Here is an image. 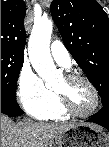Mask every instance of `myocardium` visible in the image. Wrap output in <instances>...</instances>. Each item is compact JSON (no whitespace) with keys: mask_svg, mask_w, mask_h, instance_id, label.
Listing matches in <instances>:
<instances>
[{"mask_svg":"<svg viewBox=\"0 0 109 147\" xmlns=\"http://www.w3.org/2000/svg\"><path fill=\"white\" fill-rule=\"evenodd\" d=\"M65 80L69 85H72L79 81L87 84L93 92L94 104L89 111L80 112L73 106L69 93L56 91V94L59 98L60 104L63 107V109L72 116L82 117V118L89 117L92 114H94L100 105V95L95 85L87 77L80 74H69L65 77Z\"/></svg>","mask_w":109,"mask_h":147,"instance_id":"myocardium-1","label":"myocardium"}]
</instances>
